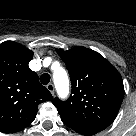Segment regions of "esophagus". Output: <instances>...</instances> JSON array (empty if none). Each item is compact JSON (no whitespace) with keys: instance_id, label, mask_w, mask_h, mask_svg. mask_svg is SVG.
Masks as SVG:
<instances>
[{"instance_id":"34e87169","label":"esophagus","mask_w":136,"mask_h":136,"mask_svg":"<svg viewBox=\"0 0 136 136\" xmlns=\"http://www.w3.org/2000/svg\"><path fill=\"white\" fill-rule=\"evenodd\" d=\"M46 87H47V89L50 91V93H51L52 95H54V93H55L54 85H53L52 83H49Z\"/></svg>"}]
</instances>
